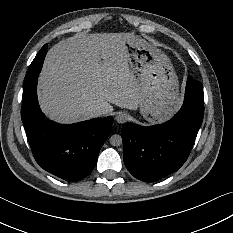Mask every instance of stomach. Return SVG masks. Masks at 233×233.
<instances>
[{
	"label": "stomach",
	"instance_id": "obj_1",
	"mask_svg": "<svg viewBox=\"0 0 233 233\" xmlns=\"http://www.w3.org/2000/svg\"><path fill=\"white\" fill-rule=\"evenodd\" d=\"M123 48L143 121L156 126L170 120L182 102L179 78L170 58L140 35L124 39Z\"/></svg>",
	"mask_w": 233,
	"mask_h": 233
}]
</instances>
